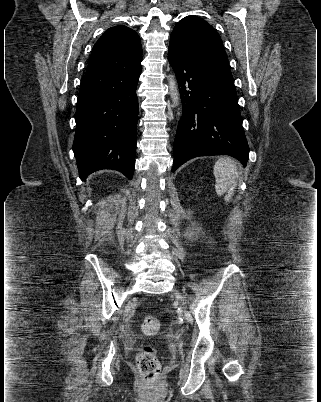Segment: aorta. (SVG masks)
Segmentation results:
<instances>
[{
  "instance_id": "aorta-1",
  "label": "aorta",
  "mask_w": 321,
  "mask_h": 402,
  "mask_svg": "<svg viewBox=\"0 0 321 402\" xmlns=\"http://www.w3.org/2000/svg\"><path fill=\"white\" fill-rule=\"evenodd\" d=\"M169 88H170V96L173 102V106H177L179 104V91L176 79L173 75H170L168 78Z\"/></svg>"
}]
</instances>
